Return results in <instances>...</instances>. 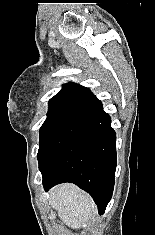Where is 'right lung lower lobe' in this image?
<instances>
[{
  "label": "right lung lower lobe",
  "mask_w": 155,
  "mask_h": 235,
  "mask_svg": "<svg viewBox=\"0 0 155 235\" xmlns=\"http://www.w3.org/2000/svg\"><path fill=\"white\" fill-rule=\"evenodd\" d=\"M89 99L98 121L74 138L42 171L43 186L48 191L60 183H74L92 196L103 214L114 189L116 135L102 103L91 92Z\"/></svg>",
  "instance_id": "1"
}]
</instances>
